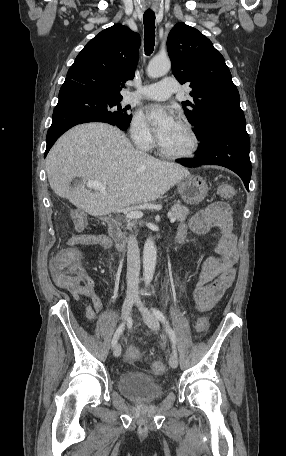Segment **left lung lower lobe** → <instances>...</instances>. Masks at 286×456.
Instances as JSON below:
<instances>
[{
    "mask_svg": "<svg viewBox=\"0 0 286 456\" xmlns=\"http://www.w3.org/2000/svg\"><path fill=\"white\" fill-rule=\"evenodd\" d=\"M197 157L179 161L186 167L215 164L226 167L238 174L249 191L251 162L249 158L250 139L246 130L217 128L200 138Z\"/></svg>",
    "mask_w": 286,
    "mask_h": 456,
    "instance_id": "left-lung-lower-lobe-1",
    "label": "left lung lower lobe"
}]
</instances>
